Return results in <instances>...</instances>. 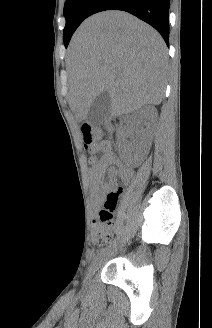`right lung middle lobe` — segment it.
<instances>
[{"mask_svg": "<svg viewBox=\"0 0 212 328\" xmlns=\"http://www.w3.org/2000/svg\"><path fill=\"white\" fill-rule=\"evenodd\" d=\"M95 1L96 0H66L64 5L66 25L63 31L65 47H67L77 27L88 17V12Z\"/></svg>", "mask_w": 212, "mask_h": 328, "instance_id": "obj_1", "label": "right lung middle lobe"}]
</instances>
